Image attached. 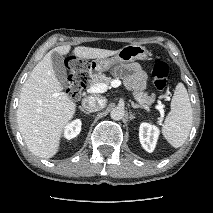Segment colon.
<instances>
[{"instance_id": "1", "label": "colon", "mask_w": 213, "mask_h": 213, "mask_svg": "<svg viewBox=\"0 0 213 213\" xmlns=\"http://www.w3.org/2000/svg\"><path fill=\"white\" fill-rule=\"evenodd\" d=\"M67 94L77 99L83 90L87 87L89 81L88 64L84 60L70 58L67 63ZM169 75V66L162 58H156L153 62L152 77L153 83L157 90L163 91L167 87V79Z\"/></svg>"}]
</instances>
